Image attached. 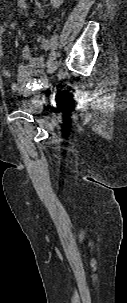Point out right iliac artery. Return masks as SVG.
<instances>
[{"instance_id": "obj_1", "label": "right iliac artery", "mask_w": 127, "mask_h": 303, "mask_svg": "<svg viewBox=\"0 0 127 303\" xmlns=\"http://www.w3.org/2000/svg\"><path fill=\"white\" fill-rule=\"evenodd\" d=\"M56 56H57L56 52L54 50H52L50 52L49 60H48V63H47L48 66L56 59Z\"/></svg>"}]
</instances>
